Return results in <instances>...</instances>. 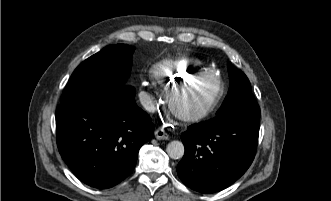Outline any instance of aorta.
<instances>
[{"label":"aorta","mask_w":331,"mask_h":201,"mask_svg":"<svg viewBox=\"0 0 331 201\" xmlns=\"http://www.w3.org/2000/svg\"><path fill=\"white\" fill-rule=\"evenodd\" d=\"M167 154L172 159L182 158L185 152V148L182 142L172 141L167 145Z\"/></svg>","instance_id":"1"}]
</instances>
